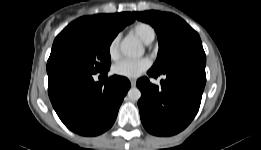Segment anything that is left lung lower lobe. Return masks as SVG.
<instances>
[{
  "label": "left lung lower lobe",
  "mask_w": 261,
  "mask_h": 150,
  "mask_svg": "<svg viewBox=\"0 0 261 150\" xmlns=\"http://www.w3.org/2000/svg\"><path fill=\"white\" fill-rule=\"evenodd\" d=\"M206 55L203 48H193L178 54L167 66L151 68L147 74L161 80V86L147 77L138 79L141 91L138 101L145 129L157 136H171L185 129L195 117L206 83Z\"/></svg>",
  "instance_id": "1"
}]
</instances>
